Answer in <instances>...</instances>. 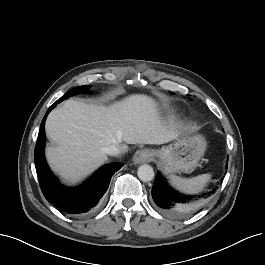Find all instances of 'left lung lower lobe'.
<instances>
[{
	"label": "left lung lower lobe",
	"instance_id": "obj_1",
	"mask_svg": "<svg viewBox=\"0 0 265 265\" xmlns=\"http://www.w3.org/2000/svg\"><path fill=\"white\" fill-rule=\"evenodd\" d=\"M215 190L202 196H185L171 189L158 172L152 187V198L163 214L184 217L198 210Z\"/></svg>",
	"mask_w": 265,
	"mask_h": 265
}]
</instances>
